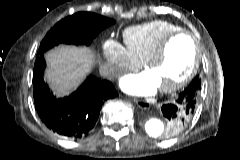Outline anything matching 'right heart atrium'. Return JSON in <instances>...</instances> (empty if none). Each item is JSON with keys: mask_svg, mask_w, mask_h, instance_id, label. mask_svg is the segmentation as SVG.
Listing matches in <instances>:
<instances>
[{"mask_svg": "<svg viewBox=\"0 0 240 160\" xmlns=\"http://www.w3.org/2000/svg\"><path fill=\"white\" fill-rule=\"evenodd\" d=\"M104 57V74L107 78H114L127 69L138 67L125 47L114 40H107L102 47Z\"/></svg>", "mask_w": 240, "mask_h": 160, "instance_id": "1", "label": "right heart atrium"}]
</instances>
